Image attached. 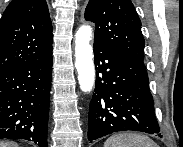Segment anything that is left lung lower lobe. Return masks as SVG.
<instances>
[{
    "mask_svg": "<svg viewBox=\"0 0 183 147\" xmlns=\"http://www.w3.org/2000/svg\"><path fill=\"white\" fill-rule=\"evenodd\" d=\"M96 86L89 107L88 140L118 131L160 135L144 62L94 41Z\"/></svg>",
    "mask_w": 183,
    "mask_h": 147,
    "instance_id": "obj_1",
    "label": "left lung lower lobe"
}]
</instances>
